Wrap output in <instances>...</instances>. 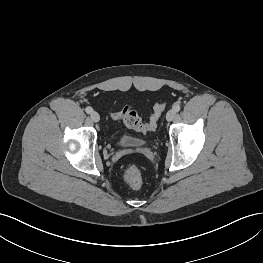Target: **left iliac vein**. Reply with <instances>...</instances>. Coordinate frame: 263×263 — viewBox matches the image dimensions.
Returning <instances> with one entry per match:
<instances>
[{
  "mask_svg": "<svg viewBox=\"0 0 263 263\" xmlns=\"http://www.w3.org/2000/svg\"><path fill=\"white\" fill-rule=\"evenodd\" d=\"M176 116V111L174 109H171L166 114L167 121H172Z\"/></svg>",
  "mask_w": 263,
  "mask_h": 263,
  "instance_id": "4c4485c4",
  "label": "left iliac vein"
}]
</instances>
